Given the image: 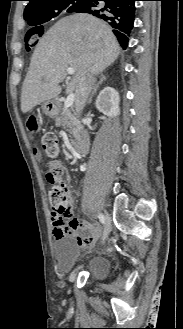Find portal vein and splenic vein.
<instances>
[{"label":"portal vein and splenic vein","instance_id":"18ae733b","mask_svg":"<svg viewBox=\"0 0 183 329\" xmlns=\"http://www.w3.org/2000/svg\"><path fill=\"white\" fill-rule=\"evenodd\" d=\"M66 71L69 74H74L75 73V69L72 68V67H68L66 69ZM74 100H75V94L74 93H70L67 96V98H66V100L64 102V110H67L69 107H71L73 105V103H74Z\"/></svg>","mask_w":183,"mask_h":329}]
</instances>
